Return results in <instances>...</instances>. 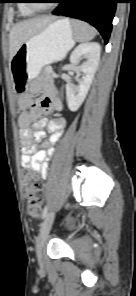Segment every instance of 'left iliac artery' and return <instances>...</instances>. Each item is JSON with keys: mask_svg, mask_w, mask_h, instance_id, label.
I'll return each mask as SVG.
<instances>
[{"mask_svg": "<svg viewBox=\"0 0 136 296\" xmlns=\"http://www.w3.org/2000/svg\"><path fill=\"white\" fill-rule=\"evenodd\" d=\"M48 213V208L47 206L44 207L43 213H42V218L44 219L47 216Z\"/></svg>", "mask_w": 136, "mask_h": 296, "instance_id": "left-iliac-artery-1", "label": "left iliac artery"}]
</instances>
